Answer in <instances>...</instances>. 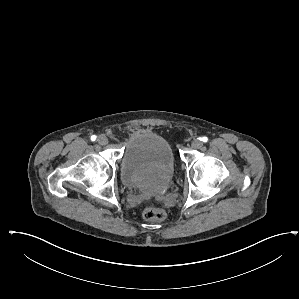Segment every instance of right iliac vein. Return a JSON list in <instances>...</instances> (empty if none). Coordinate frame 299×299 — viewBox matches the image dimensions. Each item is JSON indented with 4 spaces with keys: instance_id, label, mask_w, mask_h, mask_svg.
Returning a JSON list of instances; mask_svg holds the SVG:
<instances>
[{
    "instance_id": "1",
    "label": "right iliac vein",
    "mask_w": 299,
    "mask_h": 299,
    "mask_svg": "<svg viewBox=\"0 0 299 299\" xmlns=\"http://www.w3.org/2000/svg\"><path fill=\"white\" fill-rule=\"evenodd\" d=\"M97 141L100 145H106L108 143V138L105 135H100L98 136Z\"/></svg>"
}]
</instances>
